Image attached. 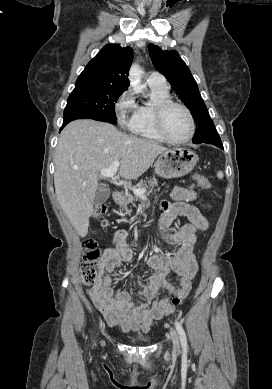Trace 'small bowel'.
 Masks as SVG:
<instances>
[{"mask_svg": "<svg viewBox=\"0 0 272 389\" xmlns=\"http://www.w3.org/2000/svg\"><path fill=\"white\" fill-rule=\"evenodd\" d=\"M171 198L172 201L162 203L159 231L165 242L178 245L179 248L172 257L159 253L149 257L148 265L155 273L147 282L139 285L142 301L135 302L131 293L115 292L112 288V272L122 263L130 261L134 255L127 245L124 231L117 232L113 246L105 250L95 283L88 291L90 299L104 316L108 326H120L124 333H148L157 320L174 310L170 297H160L161 290L165 289L174 297L186 298L191 290V281L198 272L194 254L196 233L206 230L208 221L201 209L192 202L197 201L204 212H209L211 205L194 190L184 187H175ZM178 217H186L188 223L169 233V226ZM170 273L176 276L177 285L167 281Z\"/></svg>", "mask_w": 272, "mask_h": 389, "instance_id": "1", "label": "small bowel"}]
</instances>
